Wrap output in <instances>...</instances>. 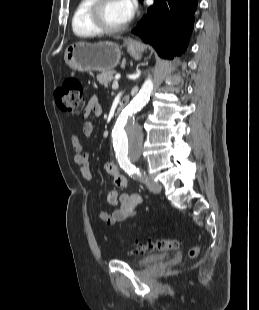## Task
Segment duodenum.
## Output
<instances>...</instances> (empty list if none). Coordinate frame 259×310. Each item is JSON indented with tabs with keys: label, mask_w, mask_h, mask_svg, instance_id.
Here are the masks:
<instances>
[{
	"label": "duodenum",
	"mask_w": 259,
	"mask_h": 310,
	"mask_svg": "<svg viewBox=\"0 0 259 310\" xmlns=\"http://www.w3.org/2000/svg\"><path fill=\"white\" fill-rule=\"evenodd\" d=\"M128 103H129V99L127 97L123 98L120 102L118 112L121 113L122 111H124Z\"/></svg>",
	"instance_id": "410a0bca"
}]
</instances>
